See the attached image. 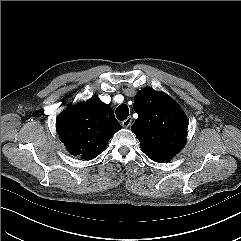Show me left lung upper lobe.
Instances as JSON below:
<instances>
[{"instance_id":"obj_1","label":"left lung upper lobe","mask_w":241,"mask_h":241,"mask_svg":"<svg viewBox=\"0 0 241 241\" xmlns=\"http://www.w3.org/2000/svg\"><path fill=\"white\" fill-rule=\"evenodd\" d=\"M133 108L138 118L131 130L150 159L169 161L184 147L187 119L168 95L145 88L135 96Z\"/></svg>"}]
</instances>
